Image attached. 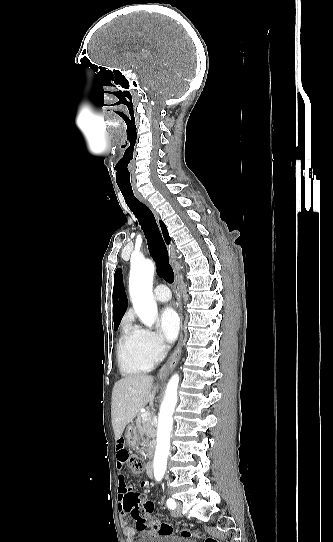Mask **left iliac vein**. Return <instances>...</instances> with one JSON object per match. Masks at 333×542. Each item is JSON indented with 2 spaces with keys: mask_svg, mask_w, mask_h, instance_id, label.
<instances>
[{
  "mask_svg": "<svg viewBox=\"0 0 333 542\" xmlns=\"http://www.w3.org/2000/svg\"><path fill=\"white\" fill-rule=\"evenodd\" d=\"M180 508H181V503L179 501H177V508L172 512L173 516H179L180 515Z\"/></svg>",
  "mask_w": 333,
  "mask_h": 542,
  "instance_id": "obj_1",
  "label": "left iliac vein"
}]
</instances>
